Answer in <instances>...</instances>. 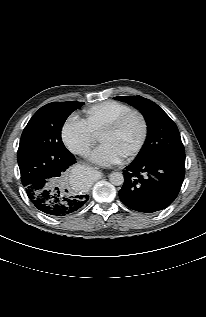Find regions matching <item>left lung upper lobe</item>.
<instances>
[{
  "label": "left lung upper lobe",
  "instance_id": "1",
  "mask_svg": "<svg viewBox=\"0 0 206 317\" xmlns=\"http://www.w3.org/2000/svg\"><path fill=\"white\" fill-rule=\"evenodd\" d=\"M143 114L148 128L146 142L134 161L168 159L185 163V151L177 126L154 102L142 96H119Z\"/></svg>",
  "mask_w": 206,
  "mask_h": 317
}]
</instances>
